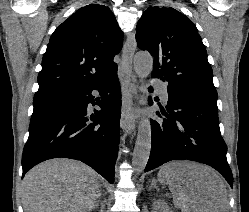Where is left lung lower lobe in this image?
<instances>
[{
    "mask_svg": "<svg viewBox=\"0 0 249 212\" xmlns=\"http://www.w3.org/2000/svg\"><path fill=\"white\" fill-rule=\"evenodd\" d=\"M152 77H157L152 73ZM166 110L151 120L152 147L145 172L171 160H191L216 169L232 187L227 146L220 134L217 98L193 90L167 86ZM152 92V87L149 88ZM157 101V99H155ZM149 104L153 102L149 98Z\"/></svg>",
    "mask_w": 249,
    "mask_h": 212,
    "instance_id": "0a47b994",
    "label": "left lung lower lobe"
}]
</instances>
